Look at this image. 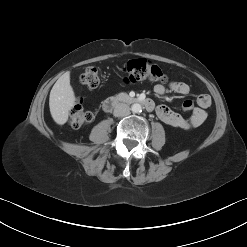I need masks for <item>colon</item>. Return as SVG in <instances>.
<instances>
[{"label": "colon", "mask_w": 247, "mask_h": 247, "mask_svg": "<svg viewBox=\"0 0 247 247\" xmlns=\"http://www.w3.org/2000/svg\"><path fill=\"white\" fill-rule=\"evenodd\" d=\"M125 81L134 83L142 80H150L154 82H165L166 76L162 70L153 62L146 59L129 60L123 67ZM81 83L90 88H97L100 84L99 70L97 67H88L80 77ZM194 108V103L191 100H185L182 103L183 111H191ZM93 120V113L83 109L81 103L77 101L73 106L69 124L73 128H80Z\"/></svg>", "instance_id": "colon-1"}]
</instances>
